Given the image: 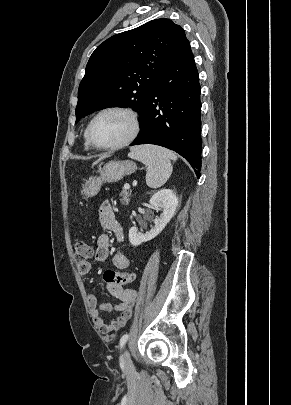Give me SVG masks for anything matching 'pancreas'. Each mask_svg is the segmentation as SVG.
Segmentation results:
<instances>
[{
  "mask_svg": "<svg viewBox=\"0 0 291 405\" xmlns=\"http://www.w3.org/2000/svg\"><path fill=\"white\" fill-rule=\"evenodd\" d=\"M120 197H121L120 201H121L122 204H124V205H128V204H129V201H130V199H129L130 193H129V192H127V191L124 189V190L120 193Z\"/></svg>",
  "mask_w": 291,
  "mask_h": 405,
  "instance_id": "1",
  "label": "pancreas"
}]
</instances>
